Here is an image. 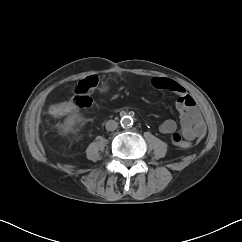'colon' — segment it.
<instances>
[{
    "instance_id": "colon-1",
    "label": "colon",
    "mask_w": 242,
    "mask_h": 242,
    "mask_svg": "<svg viewBox=\"0 0 242 242\" xmlns=\"http://www.w3.org/2000/svg\"><path fill=\"white\" fill-rule=\"evenodd\" d=\"M97 83V79H90L87 82L82 83L75 89V96L72 98V100H66L53 104L50 107V112L58 116L63 115L66 111L68 101H72L76 107H89L92 103L90 94L97 86Z\"/></svg>"
}]
</instances>
